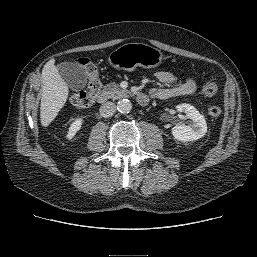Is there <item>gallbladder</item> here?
Segmentation results:
<instances>
[{"mask_svg":"<svg viewBox=\"0 0 257 257\" xmlns=\"http://www.w3.org/2000/svg\"><path fill=\"white\" fill-rule=\"evenodd\" d=\"M57 70L66 84L73 91L85 88L87 77L85 70L75 62H62L57 65Z\"/></svg>","mask_w":257,"mask_h":257,"instance_id":"obj_1","label":"gallbladder"}]
</instances>
